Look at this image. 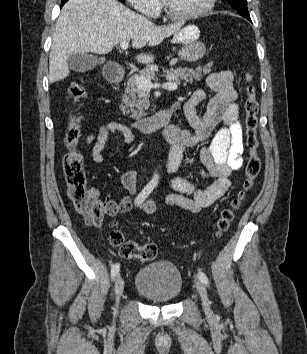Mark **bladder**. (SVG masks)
<instances>
[{
  "label": "bladder",
  "mask_w": 307,
  "mask_h": 354,
  "mask_svg": "<svg viewBox=\"0 0 307 354\" xmlns=\"http://www.w3.org/2000/svg\"><path fill=\"white\" fill-rule=\"evenodd\" d=\"M183 279L175 264L157 261L142 267L135 277L137 292L147 300L165 304L173 302L181 293Z\"/></svg>",
  "instance_id": "31cf9c89"
}]
</instances>
